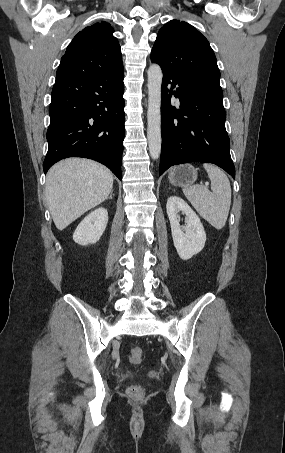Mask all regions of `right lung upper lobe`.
<instances>
[{
	"label": "right lung upper lobe",
	"mask_w": 285,
	"mask_h": 453,
	"mask_svg": "<svg viewBox=\"0 0 285 453\" xmlns=\"http://www.w3.org/2000/svg\"><path fill=\"white\" fill-rule=\"evenodd\" d=\"M113 32L107 22H97L80 31L62 56L56 76H97L123 71L121 48Z\"/></svg>",
	"instance_id": "1"
}]
</instances>
